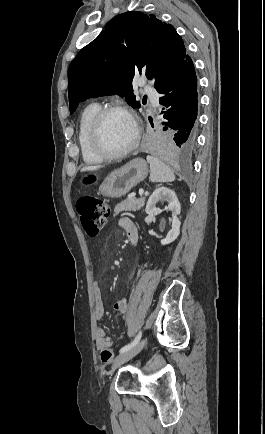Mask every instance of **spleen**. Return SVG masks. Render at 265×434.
Masks as SVG:
<instances>
[{
  "instance_id": "1",
  "label": "spleen",
  "mask_w": 265,
  "mask_h": 434,
  "mask_svg": "<svg viewBox=\"0 0 265 434\" xmlns=\"http://www.w3.org/2000/svg\"><path fill=\"white\" fill-rule=\"evenodd\" d=\"M148 164H150V178L153 182H174L175 176L173 170L161 162L155 156H147Z\"/></svg>"
}]
</instances>
